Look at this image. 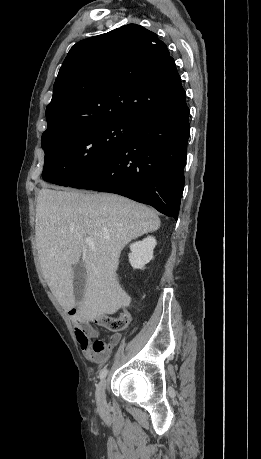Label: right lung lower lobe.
Returning a JSON list of instances; mask_svg holds the SVG:
<instances>
[{
  "label": "right lung lower lobe",
  "mask_w": 261,
  "mask_h": 459,
  "mask_svg": "<svg viewBox=\"0 0 261 459\" xmlns=\"http://www.w3.org/2000/svg\"><path fill=\"white\" fill-rule=\"evenodd\" d=\"M189 131L184 94L172 106L138 122L121 150L69 186L119 194L177 219Z\"/></svg>",
  "instance_id": "right-lung-lower-lobe-1"
}]
</instances>
